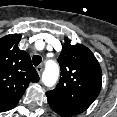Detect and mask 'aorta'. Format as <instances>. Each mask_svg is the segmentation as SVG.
I'll return each instance as SVG.
<instances>
[{
	"mask_svg": "<svg viewBox=\"0 0 117 117\" xmlns=\"http://www.w3.org/2000/svg\"><path fill=\"white\" fill-rule=\"evenodd\" d=\"M59 77V66L54 61H47L42 75V81L47 87L55 85Z\"/></svg>",
	"mask_w": 117,
	"mask_h": 117,
	"instance_id": "aorta-1",
	"label": "aorta"
}]
</instances>
